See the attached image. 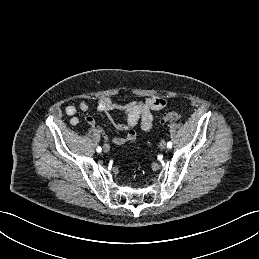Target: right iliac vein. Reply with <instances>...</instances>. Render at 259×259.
I'll return each mask as SVG.
<instances>
[{"mask_svg": "<svg viewBox=\"0 0 259 259\" xmlns=\"http://www.w3.org/2000/svg\"><path fill=\"white\" fill-rule=\"evenodd\" d=\"M103 151H104V152H109V151H110V146H109V144H104V145H103Z\"/></svg>", "mask_w": 259, "mask_h": 259, "instance_id": "right-iliac-vein-1", "label": "right iliac vein"}]
</instances>
